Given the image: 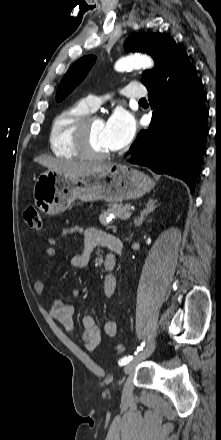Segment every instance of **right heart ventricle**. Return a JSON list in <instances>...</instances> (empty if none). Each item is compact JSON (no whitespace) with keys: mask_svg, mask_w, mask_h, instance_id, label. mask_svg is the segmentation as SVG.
Here are the masks:
<instances>
[{"mask_svg":"<svg viewBox=\"0 0 221 440\" xmlns=\"http://www.w3.org/2000/svg\"><path fill=\"white\" fill-rule=\"evenodd\" d=\"M92 111L85 100H80L55 115L48 138L50 150L55 156L65 159L81 158L74 146L73 127L78 119Z\"/></svg>","mask_w":221,"mask_h":440,"instance_id":"1","label":"right heart ventricle"}]
</instances>
